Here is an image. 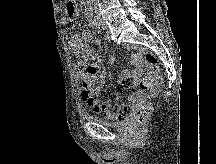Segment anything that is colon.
<instances>
[{"label":"colon","mask_w":216,"mask_h":164,"mask_svg":"<svg viewBox=\"0 0 216 164\" xmlns=\"http://www.w3.org/2000/svg\"><path fill=\"white\" fill-rule=\"evenodd\" d=\"M156 65L157 58L152 53H147L145 55V66L146 73L144 77L139 82V86L142 90L149 89L156 80ZM83 70H88L89 68L86 66L81 67ZM137 84V81L132 79H127L122 83V87L124 89H131ZM151 107L148 103H144L136 113V122L141 124L143 123L150 114Z\"/></svg>","instance_id":"5ec220e1"}]
</instances>
